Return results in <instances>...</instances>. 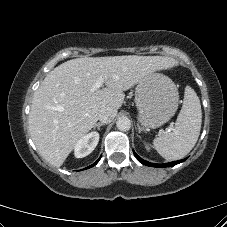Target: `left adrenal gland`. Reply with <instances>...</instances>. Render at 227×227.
<instances>
[{"mask_svg": "<svg viewBox=\"0 0 227 227\" xmlns=\"http://www.w3.org/2000/svg\"><path fill=\"white\" fill-rule=\"evenodd\" d=\"M138 127V132L141 133L143 131V129L137 124Z\"/></svg>", "mask_w": 227, "mask_h": 227, "instance_id": "obj_1", "label": "left adrenal gland"}]
</instances>
